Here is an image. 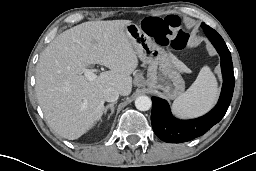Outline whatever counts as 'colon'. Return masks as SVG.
Returning a JSON list of instances; mask_svg holds the SVG:
<instances>
[{
    "label": "colon",
    "instance_id": "obj_1",
    "mask_svg": "<svg viewBox=\"0 0 256 171\" xmlns=\"http://www.w3.org/2000/svg\"><path fill=\"white\" fill-rule=\"evenodd\" d=\"M144 29L161 46H170L176 50H181L185 47L186 33L177 16L147 18L144 21Z\"/></svg>",
    "mask_w": 256,
    "mask_h": 171
}]
</instances>
